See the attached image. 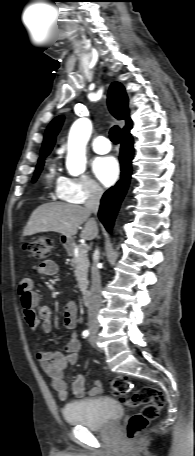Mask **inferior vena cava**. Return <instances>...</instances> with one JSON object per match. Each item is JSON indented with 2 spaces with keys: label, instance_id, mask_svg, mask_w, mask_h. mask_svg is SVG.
<instances>
[{
  "label": "inferior vena cava",
  "instance_id": "1",
  "mask_svg": "<svg viewBox=\"0 0 195 456\" xmlns=\"http://www.w3.org/2000/svg\"><path fill=\"white\" fill-rule=\"evenodd\" d=\"M103 195V189L98 185H93L90 189L89 197L85 203V208L89 213L97 214L100 199ZM94 219V218H93ZM95 220V219H94ZM99 250H95V255L93 258V263L91 266V297L88 306V323L92 328H98V314L102 304L101 296V279L98 269V258Z\"/></svg>",
  "mask_w": 195,
  "mask_h": 456
}]
</instances>
